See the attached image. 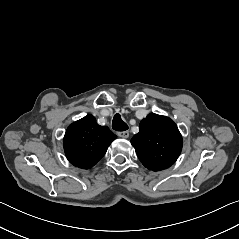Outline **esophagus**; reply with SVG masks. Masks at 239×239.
<instances>
[{"instance_id": "34e87169", "label": "esophagus", "mask_w": 239, "mask_h": 239, "mask_svg": "<svg viewBox=\"0 0 239 239\" xmlns=\"http://www.w3.org/2000/svg\"><path fill=\"white\" fill-rule=\"evenodd\" d=\"M119 137L122 138H128L129 137V131H122L117 133Z\"/></svg>"}]
</instances>
